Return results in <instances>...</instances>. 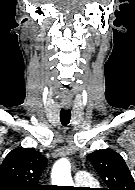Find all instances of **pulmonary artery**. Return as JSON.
I'll return each instance as SVG.
<instances>
[{
	"label": "pulmonary artery",
	"instance_id": "e3ab8cb5",
	"mask_svg": "<svg viewBox=\"0 0 135 190\" xmlns=\"http://www.w3.org/2000/svg\"><path fill=\"white\" fill-rule=\"evenodd\" d=\"M75 183L79 186H87L93 184V178L86 171H77L74 176Z\"/></svg>",
	"mask_w": 135,
	"mask_h": 190
}]
</instances>
